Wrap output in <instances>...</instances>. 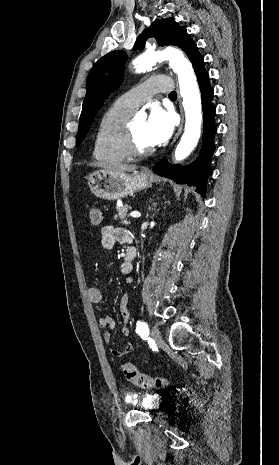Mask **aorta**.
<instances>
[{"label": "aorta", "mask_w": 279, "mask_h": 465, "mask_svg": "<svg viewBox=\"0 0 279 465\" xmlns=\"http://www.w3.org/2000/svg\"><path fill=\"white\" fill-rule=\"evenodd\" d=\"M159 60H169L170 67L178 76L180 94L183 98L185 129L175 150L176 160L181 161L193 151L200 138L202 122L200 93L191 63L177 49L143 54L134 60L133 64L136 71L141 72Z\"/></svg>", "instance_id": "obj_1"}]
</instances>
